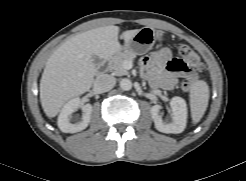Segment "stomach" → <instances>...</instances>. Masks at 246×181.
<instances>
[{
    "label": "stomach",
    "instance_id": "0dacf381",
    "mask_svg": "<svg viewBox=\"0 0 246 181\" xmlns=\"http://www.w3.org/2000/svg\"><path fill=\"white\" fill-rule=\"evenodd\" d=\"M157 39L158 34L154 29L148 27L142 28L117 54L126 51L132 52L135 55L145 54L152 48Z\"/></svg>",
    "mask_w": 246,
    "mask_h": 181
}]
</instances>
